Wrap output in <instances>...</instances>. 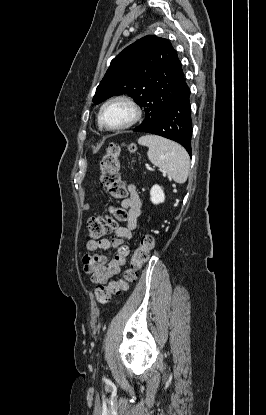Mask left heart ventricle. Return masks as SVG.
<instances>
[{
	"instance_id": "1",
	"label": "left heart ventricle",
	"mask_w": 266,
	"mask_h": 415,
	"mask_svg": "<svg viewBox=\"0 0 266 415\" xmlns=\"http://www.w3.org/2000/svg\"><path fill=\"white\" fill-rule=\"evenodd\" d=\"M132 116L130 108L123 103L109 105L103 112V121L108 126H119L126 123Z\"/></svg>"
}]
</instances>
